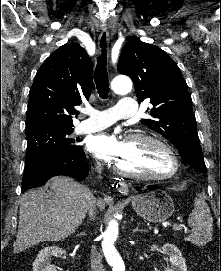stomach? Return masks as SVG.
I'll use <instances>...</instances> for the list:
<instances>
[{
  "mask_svg": "<svg viewBox=\"0 0 221 271\" xmlns=\"http://www.w3.org/2000/svg\"><path fill=\"white\" fill-rule=\"evenodd\" d=\"M132 207L147 221H165L175 209L172 197L164 189H152L145 195H137Z\"/></svg>",
  "mask_w": 221,
  "mask_h": 271,
  "instance_id": "obj_1",
  "label": "stomach"
}]
</instances>
